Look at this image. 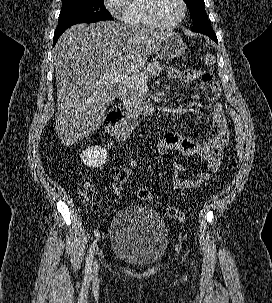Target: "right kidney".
<instances>
[{
	"instance_id": "obj_1",
	"label": "right kidney",
	"mask_w": 272,
	"mask_h": 303,
	"mask_svg": "<svg viewBox=\"0 0 272 303\" xmlns=\"http://www.w3.org/2000/svg\"><path fill=\"white\" fill-rule=\"evenodd\" d=\"M82 162L92 168L101 167L107 160V151L101 146H92L80 155Z\"/></svg>"
}]
</instances>
